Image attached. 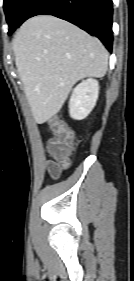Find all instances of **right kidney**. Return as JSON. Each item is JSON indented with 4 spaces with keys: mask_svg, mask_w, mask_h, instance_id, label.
Wrapping results in <instances>:
<instances>
[{
    "mask_svg": "<svg viewBox=\"0 0 134 281\" xmlns=\"http://www.w3.org/2000/svg\"><path fill=\"white\" fill-rule=\"evenodd\" d=\"M99 95V83L95 79H87L78 84L69 101V113L73 119L86 118L96 105Z\"/></svg>",
    "mask_w": 134,
    "mask_h": 281,
    "instance_id": "ca27d5eb",
    "label": "right kidney"
}]
</instances>
